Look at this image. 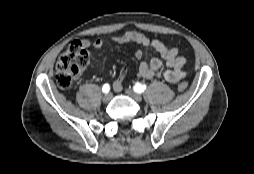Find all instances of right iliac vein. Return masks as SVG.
<instances>
[{"mask_svg":"<svg viewBox=\"0 0 254 174\" xmlns=\"http://www.w3.org/2000/svg\"><path fill=\"white\" fill-rule=\"evenodd\" d=\"M111 99H112V94L111 93L105 94L102 98L103 102H105V103H108Z\"/></svg>","mask_w":254,"mask_h":174,"instance_id":"right-iliac-vein-1","label":"right iliac vein"}]
</instances>
